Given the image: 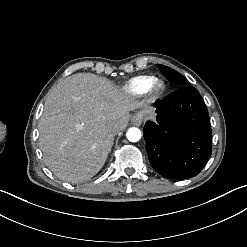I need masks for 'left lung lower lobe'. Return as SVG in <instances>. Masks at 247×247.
I'll return each instance as SVG.
<instances>
[{
  "label": "left lung lower lobe",
  "mask_w": 247,
  "mask_h": 247,
  "mask_svg": "<svg viewBox=\"0 0 247 247\" xmlns=\"http://www.w3.org/2000/svg\"><path fill=\"white\" fill-rule=\"evenodd\" d=\"M156 121H147L144 139L153 169L169 179H187L201 172L212 153L207 107L192 86H183L155 102Z\"/></svg>",
  "instance_id": "0a47b994"
}]
</instances>
